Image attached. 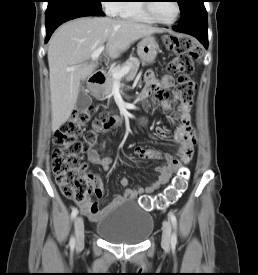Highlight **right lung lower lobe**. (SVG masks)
<instances>
[{
	"instance_id": "right-lung-lower-lobe-1",
	"label": "right lung lower lobe",
	"mask_w": 258,
	"mask_h": 275,
	"mask_svg": "<svg viewBox=\"0 0 258 275\" xmlns=\"http://www.w3.org/2000/svg\"><path fill=\"white\" fill-rule=\"evenodd\" d=\"M46 39L49 40L55 29L62 23L83 16H104L101 8H95L87 4L63 3L46 10Z\"/></svg>"
}]
</instances>
